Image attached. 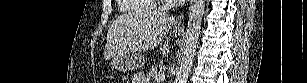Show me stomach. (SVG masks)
I'll return each mask as SVG.
<instances>
[{
  "mask_svg": "<svg viewBox=\"0 0 307 83\" xmlns=\"http://www.w3.org/2000/svg\"><path fill=\"white\" fill-rule=\"evenodd\" d=\"M144 63V59L137 54L117 55L112 58V67L121 72L137 69Z\"/></svg>",
  "mask_w": 307,
  "mask_h": 83,
  "instance_id": "stomach-1",
  "label": "stomach"
}]
</instances>
